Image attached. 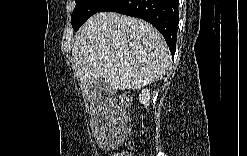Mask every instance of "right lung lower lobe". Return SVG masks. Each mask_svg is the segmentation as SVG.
Segmentation results:
<instances>
[{"instance_id":"1","label":"right lung lower lobe","mask_w":247,"mask_h":156,"mask_svg":"<svg viewBox=\"0 0 247 156\" xmlns=\"http://www.w3.org/2000/svg\"><path fill=\"white\" fill-rule=\"evenodd\" d=\"M112 11L150 22L174 55L179 22L178 0H107L98 12Z\"/></svg>"}]
</instances>
